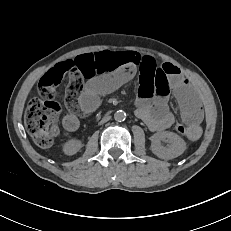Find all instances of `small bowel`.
<instances>
[{"instance_id": "1", "label": "small bowel", "mask_w": 231, "mask_h": 231, "mask_svg": "<svg viewBox=\"0 0 231 231\" xmlns=\"http://www.w3.org/2000/svg\"><path fill=\"white\" fill-rule=\"evenodd\" d=\"M139 73L140 85L135 113L150 130L161 131L175 121L167 103L169 92L176 94L183 119L190 125L189 138L201 135L202 110L199 100L181 71L170 63L158 64L148 55L133 51H100L87 53L55 65L43 80L54 85L64 75L69 82L66 90L67 112L63 126L68 131L79 127V116L92 113L99 105V97L110 93Z\"/></svg>"}]
</instances>
